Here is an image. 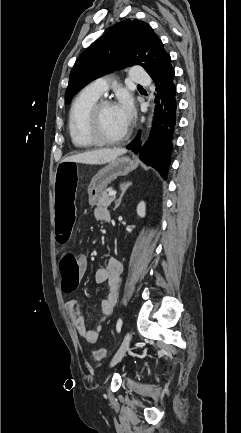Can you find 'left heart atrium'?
Returning a JSON list of instances; mask_svg holds the SVG:
<instances>
[{"mask_svg":"<svg viewBox=\"0 0 241 433\" xmlns=\"http://www.w3.org/2000/svg\"><path fill=\"white\" fill-rule=\"evenodd\" d=\"M115 106L123 122L126 126H128L131 123L134 115V109L131 100L127 96H122Z\"/></svg>","mask_w":241,"mask_h":433,"instance_id":"obj_1","label":"left heart atrium"}]
</instances>
